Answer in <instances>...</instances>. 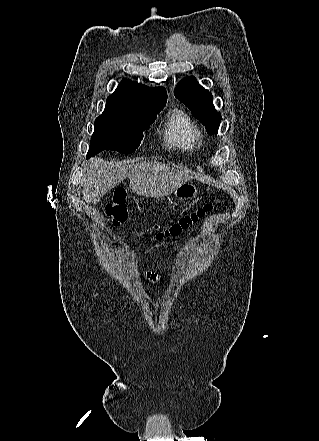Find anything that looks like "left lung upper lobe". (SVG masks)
Listing matches in <instances>:
<instances>
[{
  "label": "left lung upper lobe",
  "mask_w": 319,
  "mask_h": 441,
  "mask_svg": "<svg viewBox=\"0 0 319 441\" xmlns=\"http://www.w3.org/2000/svg\"><path fill=\"white\" fill-rule=\"evenodd\" d=\"M175 96L190 109L209 134H217L221 114L213 105L211 92L202 87L194 76L186 77L176 85Z\"/></svg>",
  "instance_id": "1"
}]
</instances>
